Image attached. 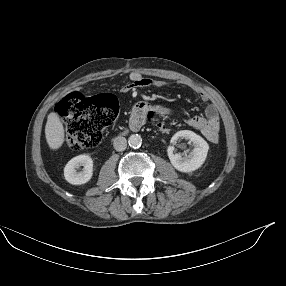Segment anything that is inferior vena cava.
Here are the masks:
<instances>
[{"label":"inferior vena cava","instance_id":"1","mask_svg":"<svg viewBox=\"0 0 286 286\" xmlns=\"http://www.w3.org/2000/svg\"><path fill=\"white\" fill-rule=\"evenodd\" d=\"M113 146L116 151H124L127 147V140L125 137L118 136L114 139Z\"/></svg>","mask_w":286,"mask_h":286}]
</instances>
